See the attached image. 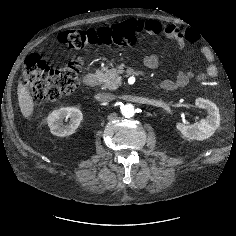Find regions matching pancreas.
I'll return each mask as SVG.
<instances>
[{"label": "pancreas", "mask_w": 236, "mask_h": 236, "mask_svg": "<svg viewBox=\"0 0 236 236\" xmlns=\"http://www.w3.org/2000/svg\"><path fill=\"white\" fill-rule=\"evenodd\" d=\"M124 67L125 65L121 64L114 69H103L98 76V81L102 85V89H117L121 85L120 74L124 72Z\"/></svg>", "instance_id": "cf45deb5"}]
</instances>
